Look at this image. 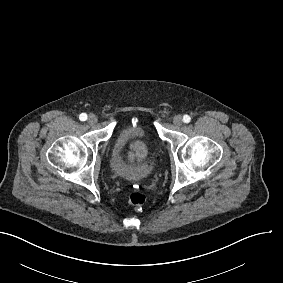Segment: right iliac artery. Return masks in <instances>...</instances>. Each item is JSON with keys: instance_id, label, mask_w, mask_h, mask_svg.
Returning <instances> with one entry per match:
<instances>
[{"instance_id": "right-iliac-artery-1", "label": "right iliac artery", "mask_w": 283, "mask_h": 283, "mask_svg": "<svg viewBox=\"0 0 283 283\" xmlns=\"http://www.w3.org/2000/svg\"><path fill=\"white\" fill-rule=\"evenodd\" d=\"M79 119H80L81 121H85V120L87 119V114H86V113L80 114Z\"/></svg>"}]
</instances>
